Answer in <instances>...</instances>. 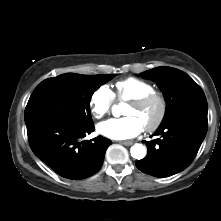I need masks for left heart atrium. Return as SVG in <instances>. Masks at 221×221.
<instances>
[{
  "instance_id": "left-heart-atrium-1",
  "label": "left heart atrium",
  "mask_w": 221,
  "mask_h": 221,
  "mask_svg": "<svg viewBox=\"0 0 221 221\" xmlns=\"http://www.w3.org/2000/svg\"><path fill=\"white\" fill-rule=\"evenodd\" d=\"M143 125L134 116L111 118L97 125V131L110 139L125 140L141 133Z\"/></svg>"
}]
</instances>
